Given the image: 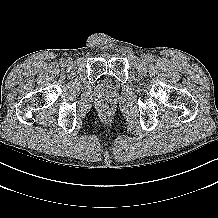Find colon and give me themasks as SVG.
Returning <instances> with one entry per match:
<instances>
[{
	"instance_id": "obj_1",
	"label": "colon",
	"mask_w": 218,
	"mask_h": 218,
	"mask_svg": "<svg viewBox=\"0 0 218 218\" xmlns=\"http://www.w3.org/2000/svg\"><path fill=\"white\" fill-rule=\"evenodd\" d=\"M103 113H104V115H108L109 111L108 110H104Z\"/></svg>"
}]
</instances>
